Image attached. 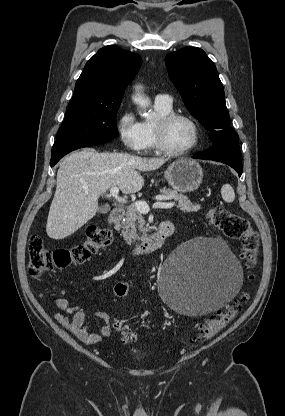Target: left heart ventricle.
Masks as SVG:
<instances>
[{
    "label": "left heart ventricle",
    "mask_w": 285,
    "mask_h": 416,
    "mask_svg": "<svg viewBox=\"0 0 285 416\" xmlns=\"http://www.w3.org/2000/svg\"><path fill=\"white\" fill-rule=\"evenodd\" d=\"M165 140L167 145L175 151L187 149L194 141L193 128L188 121L176 119L168 126Z\"/></svg>",
    "instance_id": "b2bd125f"
}]
</instances>
